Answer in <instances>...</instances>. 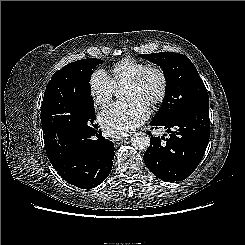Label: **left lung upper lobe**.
I'll use <instances>...</instances> for the list:
<instances>
[{
  "mask_svg": "<svg viewBox=\"0 0 245 245\" xmlns=\"http://www.w3.org/2000/svg\"><path fill=\"white\" fill-rule=\"evenodd\" d=\"M158 64L166 78V96L154 121L169 122L196 106H209L207 89L193 63L183 54H140Z\"/></svg>",
  "mask_w": 245,
  "mask_h": 245,
  "instance_id": "5c2ea615",
  "label": "left lung upper lobe"
}]
</instances>
